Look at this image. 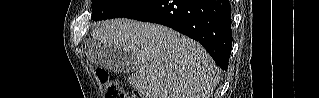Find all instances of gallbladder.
<instances>
[{
	"instance_id": "obj_1",
	"label": "gallbladder",
	"mask_w": 319,
	"mask_h": 98,
	"mask_svg": "<svg viewBox=\"0 0 319 98\" xmlns=\"http://www.w3.org/2000/svg\"><path fill=\"white\" fill-rule=\"evenodd\" d=\"M88 55L93 57L95 64L115 72L130 73L135 68V59L130 53L105 44L89 48Z\"/></svg>"
}]
</instances>
